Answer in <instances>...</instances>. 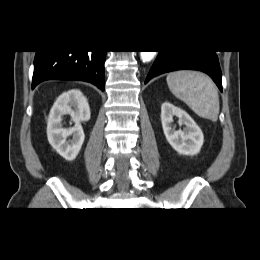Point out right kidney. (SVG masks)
<instances>
[{
  "mask_svg": "<svg viewBox=\"0 0 260 260\" xmlns=\"http://www.w3.org/2000/svg\"><path fill=\"white\" fill-rule=\"evenodd\" d=\"M90 114L87 99L80 90H70L60 95L50 111L47 123L48 141L68 161L74 160L82 147L85 135L81 122L88 121ZM64 115L71 116L73 127H62ZM70 136L72 139H68Z\"/></svg>",
  "mask_w": 260,
  "mask_h": 260,
  "instance_id": "right-kidney-1",
  "label": "right kidney"
}]
</instances>
